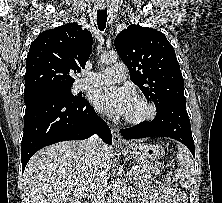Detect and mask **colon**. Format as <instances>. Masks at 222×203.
Returning a JSON list of instances; mask_svg holds the SVG:
<instances>
[{"mask_svg": "<svg viewBox=\"0 0 222 203\" xmlns=\"http://www.w3.org/2000/svg\"><path fill=\"white\" fill-rule=\"evenodd\" d=\"M166 179H167V182L170 186H172V187L177 186V181H176L174 175L171 172L167 173Z\"/></svg>", "mask_w": 222, "mask_h": 203, "instance_id": "obj_1", "label": "colon"}]
</instances>
